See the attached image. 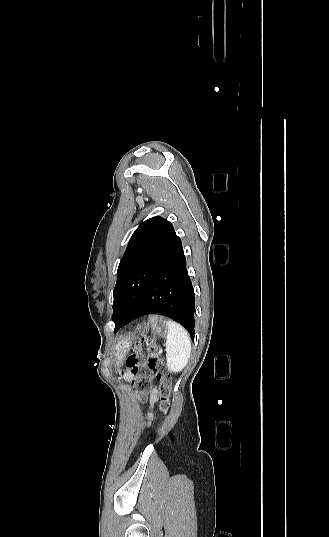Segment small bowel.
Here are the masks:
<instances>
[{
    "instance_id": "c3829d8e",
    "label": "small bowel",
    "mask_w": 329,
    "mask_h": 537,
    "mask_svg": "<svg viewBox=\"0 0 329 537\" xmlns=\"http://www.w3.org/2000/svg\"><path fill=\"white\" fill-rule=\"evenodd\" d=\"M125 376H126V379L129 380V381L133 380V378H134V375H133V373H132L130 370H128V371L126 372ZM155 400H156V389H154V390L151 392V401H152V403H153Z\"/></svg>"
}]
</instances>
